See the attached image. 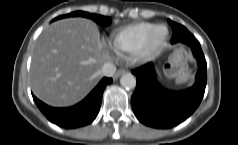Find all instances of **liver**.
Here are the masks:
<instances>
[{
    "label": "liver",
    "mask_w": 238,
    "mask_h": 145,
    "mask_svg": "<svg viewBox=\"0 0 238 145\" xmlns=\"http://www.w3.org/2000/svg\"><path fill=\"white\" fill-rule=\"evenodd\" d=\"M109 59V49L91 20H59L45 28L36 41L31 89L50 106L74 105L97 84L102 65Z\"/></svg>",
    "instance_id": "6515ba94"
}]
</instances>
